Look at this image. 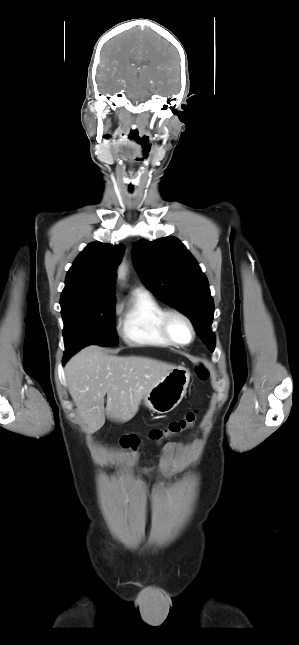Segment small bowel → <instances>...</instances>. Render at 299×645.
I'll use <instances>...</instances> for the list:
<instances>
[{
  "label": "small bowel",
  "instance_id": "small-bowel-1",
  "mask_svg": "<svg viewBox=\"0 0 299 645\" xmlns=\"http://www.w3.org/2000/svg\"><path fill=\"white\" fill-rule=\"evenodd\" d=\"M183 450H184V446H183V445H180V444L168 445V446L165 448V451H166V452H173V451L181 452V451H183Z\"/></svg>",
  "mask_w": 299,
  "mask_h": 645
}]
</instances>
